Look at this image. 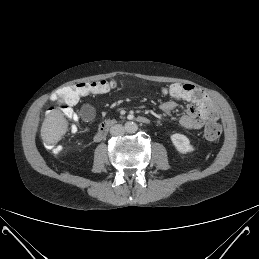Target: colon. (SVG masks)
Instances as JSON below:
<instances>
[{
  "instance_id": "obj_1",
  "label": "colon",
  "mask_w": 259,
  "mask_h": 259,
  "mask_svg": "<svg viewBox=\"0 0 259 259\" xmlns=\"http://www.w3.org/2000/svg\"><path fill=\"white\" fill-rule=\"evenodd\" d=\"M117 87V83L108 80H95L83 82L74 86L61 88L55 95L54 100L64 103L61 107L66 118L74 123L77 119L76 114L70 106L77 103L80 97L87 94H105ZM163 93L168 96L178 97L181 101L204 100L207 97V92L200 87H195L191 84H172L163 89ZM221 135V127L216 122H209L204 130V136L208 141H216ZM60 149L55 148L58 152Z\"/></svg>"
}]
</instances>
